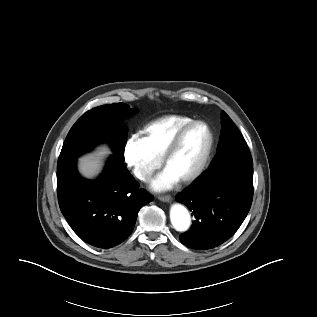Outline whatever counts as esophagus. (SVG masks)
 Segmentation results:
<instances>
[{
  "instance_id": "1",
  "label": "esophagus",
  "mask_w": 317,
  "mask_h": 317,
  "mask_svg": "<svg viewBox=\"0 0 317 317\" xmlns=\"http://www.w3.org/2000/svg\"><path fill=\"white\" fill-rule=\"evenodd\" d=\"M159 200L162 202H169L171 200V196L170 195H162V196H159Z\"/></svg>"
}]
</instances>
